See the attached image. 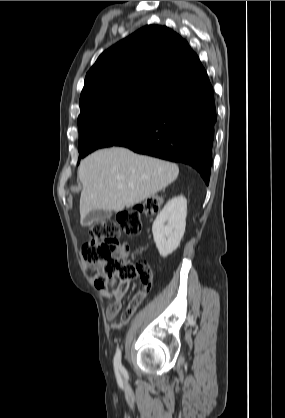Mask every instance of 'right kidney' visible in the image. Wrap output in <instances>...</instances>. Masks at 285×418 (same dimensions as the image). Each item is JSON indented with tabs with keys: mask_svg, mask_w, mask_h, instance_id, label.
<instances>
[{
	"mask_svg": "<svg viewBox=\"0 0 285 418\" xmlns=\"http://www.w3.org/2000/svg\"><path fill=\"white\" fill-rule=\"evenodd\" d=\"M186 216L187 200L184 196L171 199L157 215L152 232L162 257H167L178 248L185 232Z\"/></svg>",
	"mask_w": 285,
	"mask_h": 418,
	"instance_id": "ca27d5eb",
	"label": "right kidney"
}]
</instances>
